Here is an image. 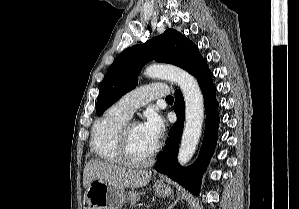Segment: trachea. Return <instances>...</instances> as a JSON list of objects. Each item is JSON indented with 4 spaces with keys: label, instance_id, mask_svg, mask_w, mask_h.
<instances>
[{
    "label": "trachea",
    "instance_id": "trachea-1",
    "mask_svg": "<svg viewBox=\"0 0 299 209\" xmlns=\"http://www.w3.org/2000/svg\"><path fill=\"white\" fill-rule=\"evenodd\" d=\"M166 101H173V97L171 95L167 96Z\"/></svg>",
    "mask_w": 299,
    "mask_h": 209
}]
</instances>
